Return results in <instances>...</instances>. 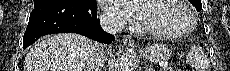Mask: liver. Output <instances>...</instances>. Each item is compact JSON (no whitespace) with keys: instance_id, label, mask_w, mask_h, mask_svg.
<instances>
[{"instance_id":"6515ba94","label":"liver","mask_w":230,"mask_h":71,"mask_svg":"<svg viewBox=\"0 0 230 71\" xmlns=\"http://www.w3.org/2000/svg\"><path fill=\"white\" fill-rule=\"evenodd\" d=\"M92 47L90 39L78 34L43 37L27 53L24 71H84Z\"/></svg>"}]
</instances>
